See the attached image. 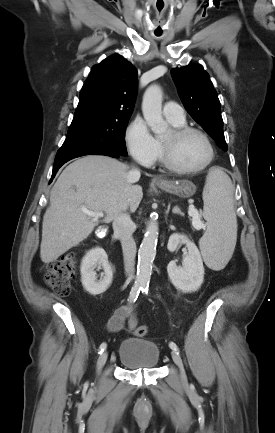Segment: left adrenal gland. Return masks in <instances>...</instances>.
<instances>
[{
  "mask_svg": "<svg viewBox=\"0 0 275 433\" xmlns=\"http://www.w3.org/2000/svg\"><path fill=\"white\" fill-rule=\"evenodd\" d=\"M172 212H173L174 214H180V215H183V213L181 212V210H180L177 206L173 208Z\"/></svg>",
  "mask_w": 275,
  "mask_h": 433,
  "instance_id": "left-adrenal-gland-1",
  "label": "left adrenal gland"
}]
</instances>
